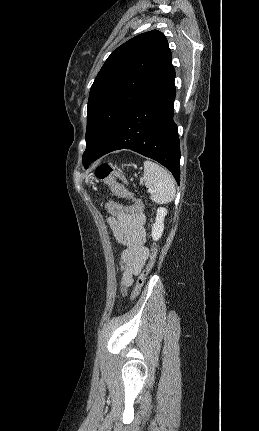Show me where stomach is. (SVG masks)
Wrapping results in <instances>:
<instances>
[{
    "label": "stomach",
    "mask_w": 259,
    "mask_h": 431,
    "mask_svg": "<svg viewBox=\"0 0 259 431\" xmlns=\"http://www.w3.org/2000/svg\"><path fill=\"white\" fill-rule=\"evenodd\" d=\"M93 180H94V177H90V178L87 180V182H88V183H90V184H93Z\"/></svg>",
    "instance_id": "obj_1"
}]
</instances>
